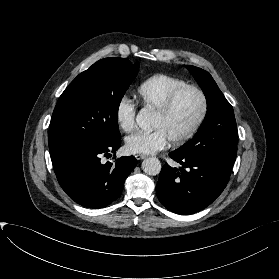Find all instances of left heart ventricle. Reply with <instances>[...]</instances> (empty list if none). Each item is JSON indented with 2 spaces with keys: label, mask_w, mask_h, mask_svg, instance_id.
<instances>
[{
  "label": "left heart ventricle",
  "mask_w": 279,
  "mask_h": 279,
  "mask_svg": "<svg viewBox=\"0 0 279 279\" xmlns=\"http://www.w3.org/2000/svg\"><path fill=\"white\" fill-rule=\"evenodd\" d=\"M202 107L200 96L191 90L176 99L172 110L165 116L155 113L152 128L161 129L169 140L185 134L197 120Z\"/></svg>",
  "instance_id": "left-heart-ventricle-1"
}]
</instances>
